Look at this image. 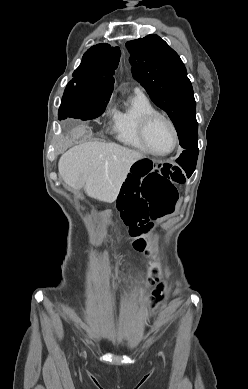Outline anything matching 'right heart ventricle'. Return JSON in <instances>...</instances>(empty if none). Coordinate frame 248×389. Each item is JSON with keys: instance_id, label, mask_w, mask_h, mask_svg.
<instances>
[{"instance_id": "e07e8e85", "label": "right heart ventricle", "mask_w": 248, "mask_h": 389, "mask_svg": "<svg viewBox=\"0 0 248 389\" xmlns=\"http://www.w3.org/2000/svg\"><path fill=\"white\" fill-rule=\"evenodd\" d=\"M156 111L150 100L135 93L129 103L122 109L112 111V130L115 138L131 148L147 152L139 137V126L142 118Z\"/></svg>"}]
</instances>
